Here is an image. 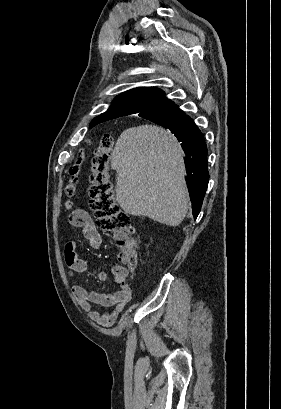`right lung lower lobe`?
I'll return each mask as SVG.
<instances>
[{
  "label": "right lung lower lobe",
  "instance_id": "right-lung-lower-lobe-1",
  "mask_svg": "<svg viewBox=\"0 0 281 409\" xmlns=\"http://www.w3.org/2000/svg\"><path fill=\"white\" fill-rule=\"evenodd\" d=\"M139 116L152 119L157 117H178L179 120L166 128L171 130L182 142L181 146L186 154L185 167L189 183V195L192 202L194 219L197 218L203 198L208 186L209 173L207 165V146L203 134L195 125L193 119L185 115L177 105L154 109L139 113Z\"/></svg>",
  "mask_w": 281,
  "mask_h": 409
}]
</instances>
